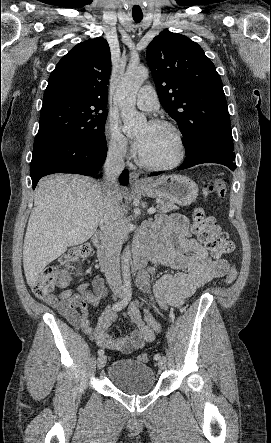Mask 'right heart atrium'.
<instances>
[{
	"mask_svg": "<svg viewBox=\"0 0 271 443\" xmlns=\"http://www.w3.org/2000/svg\"><path fill=\"white\" fill-rule=\"evenodd\" d=\"M104 136L108 152L115 157H126L130 153V141L123 134L119 122L108 117L104 124Z\"/></svg>",
	"mask_w": 271,
	"mask_h": 443,
	"instance_id": "1",
	"label": "right heart atrium"
}]
</instances>
